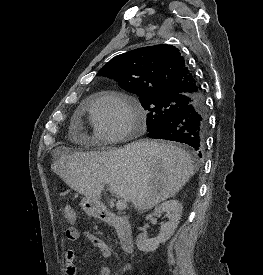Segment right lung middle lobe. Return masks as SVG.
<instances>
[{
  "label": "right lung middle lobe",
  "instance_id": "obj_1",
  "mask_svg": "<svg viewBox=\"0 0 263 275\" xmlns=\"http://www.w3.org/2000/svg\"><path fill=\"white\" fill-rule=\"evenodd\" d=\"M139 99L147 111V131L156 128L192 102V98L184 95L139 96Z\"/></svg>",
  "mask_w": 263,
  "mask_h": 275
}]
</instances>
